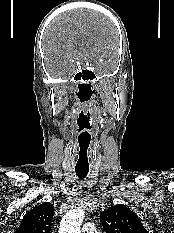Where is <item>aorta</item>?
Wrapping results in <instances>:
<instances>
[{
    "label": "aorta",
    "mask_w": 174,
    "mask_h": 233,
    "mask_svg": "<svg viewBox=\"0 0 174 233\" xmlns=\"http://www.w3.org/2000/svg\"><path fill=\"white\" fill-rule=\"evenodd\" d=\"M85 212L82 208L69 210L60 222L59 233H81L80 227Z\"/></svg>",
    "instance_id": "1"
}]
</instances>
